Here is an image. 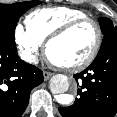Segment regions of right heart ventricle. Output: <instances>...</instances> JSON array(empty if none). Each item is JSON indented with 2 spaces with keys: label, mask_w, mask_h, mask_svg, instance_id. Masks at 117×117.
Here are the masks:
<instances>
[{
  "label": "right heart ventricle",
  "mask_w": 117,
  "mask_h": 117,
  "mask_svg": "<svg viewBox=\"0 0 117 117\" xmlns=\"http://www.w3.org/2000/svg\"><path fill=\"white\" fill-rule=\"evenodd\" d=\"M85 17L88 15L84 11L67 6L43 7L29 13L25 24L29 33L43 43L63 25Z\"/></svg>",
  "instance_id": "e07e8e85"
}]
</instances>
